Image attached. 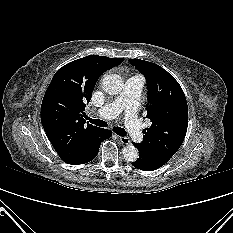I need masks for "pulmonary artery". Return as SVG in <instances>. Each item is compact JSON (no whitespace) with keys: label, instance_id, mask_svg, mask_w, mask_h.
Here are the masks:
<instances>
[{"label":"pulmonary artery","instance_id":"1","mask_svg":"<svg viewBox=\"0 0 233 233\" xmlns=\"http://www.w3.org/2000/svg\"><path fill=\"white\" fill-rule=\"evenodd\" d=\"M143 85L144 78L142 76L134 75L129 77L119 96L111 103L104 105L96 111V115L100 118L111 119L124 110L127 130L135 142H141L143 139L141 127L137 119L139 99Z\"/></svg>","mask_w":233,"mask_h":233}]
</instances>
